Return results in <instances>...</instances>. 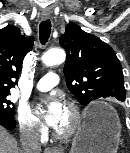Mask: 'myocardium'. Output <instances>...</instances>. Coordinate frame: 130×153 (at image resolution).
Here are the masks:
<instances>
[{"instance_id": "myocardium-1", "label": "myocardium", "mask_w": 130, "mask_h": 153, "mask_svg": "<svg viewBox=\"0 0 130 153\" xmlns=\"http://www.w3.org/2000/svg\"><path fill=\"white\" fill-rule=\"evenodd\" d=\"M64 107L69 111L71 115V122L69 126L64 130H59L56 128L53 129V136L59 140H65L72 137L76 133L82 122L81 112L74 102L66 101L64 103Z\"/></svg>"}]
</instances>
